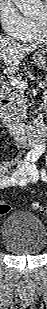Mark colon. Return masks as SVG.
Masks as SVG:
<instances>
[{
	"instance_id": "obj_1",
	"label": "colon",
	"mask_w": 47,
	"mask_h": 309,
	"mask_svg": "<svg viewBox=\"0 0 47 309\" xmlns=\"http://www.w3.org/2000/svg\"><path fill=\"white\" fill-rule=\"evenodd\" d=\"M31 208L35 211H38V212H44V206L37 202V201H34L31 203ZM10 211V206L7 205V204H1L0 205V214H7L8 212Z\"/></svg>"
}]
</instances>
